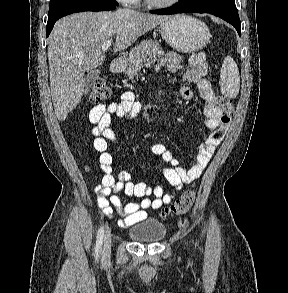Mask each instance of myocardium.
Wrapping results in <instances>:
<instances>
[{"instance_id":"1","label":"myocardium","mask_w":288,"mask_h":293,"mask_svg":"<svg viewBox=\"0 0 288 293\" xmlns=\"http://www.w3.org/2000/svg\"><path fill=\"white\" fill-rule=\"evenodd\" d=\"M145 2L154 8H168L171 6H174L175 4H177L179 2V0H168L165 2H158L155 0H145Z\"/></svg>"}]
</instances>
